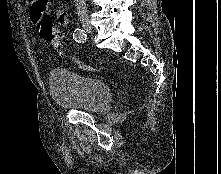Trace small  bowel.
Returning a JSON list of instances; mask_svg holds the SVG:
<instances>
[{
    "label": "small bowel",
    "mask_w": 221,
    "mask_h": 174,
    "mask_svg": "<svg viewBox=\"0 0 221 174\" xmlns=\"http://www.w3.org/2000/svg\"><path fill=\"white\" fill-rule=\"evenodd\" d=\"M29 14L32 22L37 26L41 18L53 9L50 0H28ZM54 16L60 26H66L69 23V15L61 9H54Z\"/></svg>",
    "instance_id": "small-bowel-1"
}]
</instances>
